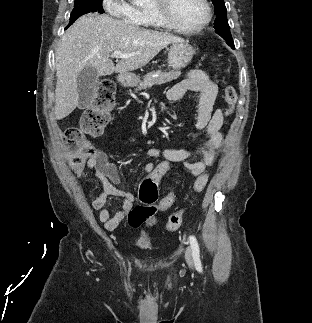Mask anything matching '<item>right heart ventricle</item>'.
I'll use <instances>...</instances> for the list:
<instances>
[{
  "instance_id": "right-heart-ventricle-1",
  "label": "right heart ventricle",
  "mask_w": 312,
  "mask_h": 323,
  "mask_svg": "<svg viewBox=\"0 0 312 323\" xmlns=\"http://www.w3.org/2000/svg\"><path fill=\"white\" fill-rule=\"evenodd\" d=\"M138 16V25H158L160 29L165 27L163 18H159L158 9H135Z\"/></svg>"
}]
</instances>
